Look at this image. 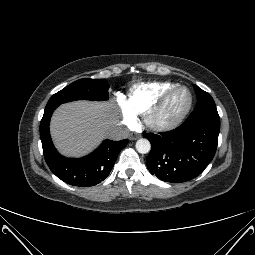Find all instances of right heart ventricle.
<instances>
[{"mask_svg":"<svg viewBox=\"0 0 255 255\" xmlns=\"http://www.w3.org/2000/svg\"><path fill=\"white\" fill-rule=\"evenodd\" d=\"M175 86L177 85L172 82H155L135 86L130 90L125 104L134 112H147L165 92Z\"/></svg>","mask_w":255,"mask_h":255,"instance_id":"e07e8e85","label":"right heart ventricle"}]
</instances>
